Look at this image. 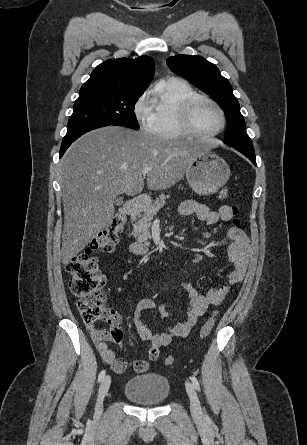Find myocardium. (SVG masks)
<instances>
[{
	"instance_id": "1",
	"label": "myocardium",
	"mask_w": 307,
	"mask_h": 445,
	"mask_svg": "<svg viewBox=\"0 0 307 445\" xmlns=\"http://www.w3.org/2000/svg\"><path fill=\"white\" fill-rule=\"evenodd\" d=\"M200 102L210 103L214 105L221 112L223 118V125L219 130L212 133H204L200 130L195 120V110ZM180 115L182 117L183 123L188 133L195 136L194 137L195 139H205V138L215 137L221 134L227 128L228 125V115L224 107L216 100L204 95L196 94L195 96L187 100L180 108Z\"/></svg>"
}]
</instances>
